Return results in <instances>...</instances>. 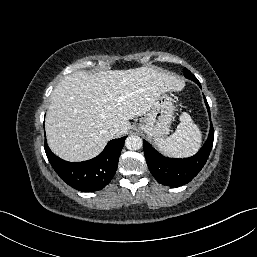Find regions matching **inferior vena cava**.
I'll list each match as a JSON object with an SVG mask.
<instances>
[{"label": "inferior vena cava", "mask_w": 257, "mask_h": 257, "mask_svg": "<svg viewBox=\"0 0 257 257\" xmlns=\"http://www.w3.org/2000/svg\"><path fill=\"white\" fill-rule=\"evenodd\" d=\"M109 133H110L111 136L116 135L118 133V128L111 127L109 129Z\"/></svg>", "instance_id": "1"}]
</instances>
